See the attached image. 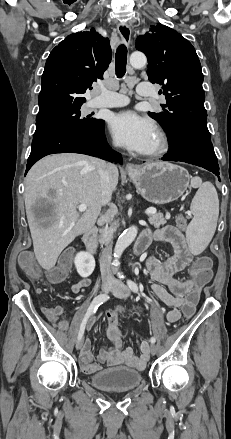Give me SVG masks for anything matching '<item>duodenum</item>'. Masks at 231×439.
Segmentation results:
<instances>
[{
	"mask_svg": "<svg viewBox=\"0 0 231 439\" xmlns=\"http://www.w3.org/2000/svg\"><path fill=\"white\" fill-rule=\"evenodd\" d=\"M83 243L88 253L94 255L97 252V229L95 227L89 228L83 235ZM147 247V241L144 238H139L134 245V253L141 254Z\"/></svg>",
	"mask_w": 231,
	"mask_h": 439,
	"instance_id": "1",
	"label": "duodenum"
}]
</instances>
